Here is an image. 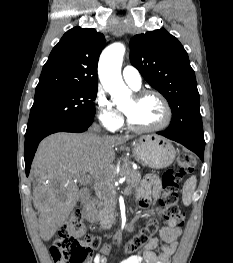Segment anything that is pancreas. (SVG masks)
Returning a JSON list of instances; mask_svg holds the SVG:
<instances>
[{"instance_id":"cf45deb5","label":"pancreas","mask_w":233,"mask_h":263,"mask_svg":"<svg viewBox=\"0 0 233 263\" xmlns=\"http://www.w3.org/2000/svg\"><path fill=\"white\" fill-rule=\"evenodd\" d=\"M141 179V174L135 170H129L127 176V188L125 193L128 194L132 189L137 188ZM115 198L113 194L105 192L101 194L97 207H95L90 214L89 221L92 223H97L102 227H110L115 222Z\"/></svg>"}]
</instances>
